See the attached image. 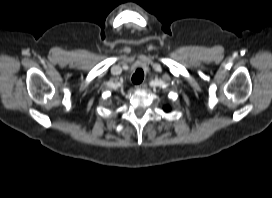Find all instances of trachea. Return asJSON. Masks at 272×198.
Here are the masks:
<instances>
[{
  "instance_id": "1",
  "label": "trachea",
  "mask_w": 272,
  "mask_h": 198,
  "mask_svg": "<svg viewBox=\"0 0 272 198\" xmlns=\"http://www.w3.org/2000/svg\"><path fill=\"white\" fill-rule=\"evenodd\" d=\"M144 79V73L142 69H137L132 76V82L134 84H140Z\"/></svg>"
}]
</instances>
